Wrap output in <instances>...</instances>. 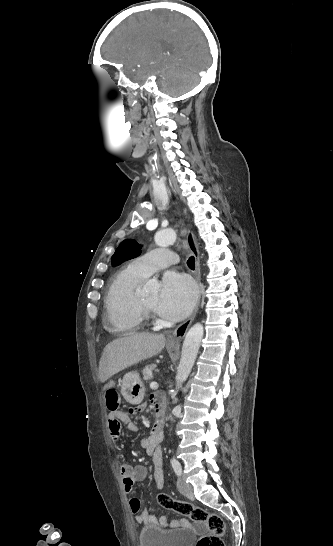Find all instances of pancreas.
Instances as JSON below:
<instances>
[{
    "mask_svg": "<svg viewBox=\"0 0 333 546\" xmlns=\"http://www.w3.org/2000/svg\"><path fill=\"white\" fill-rule=\"evenodd\" d=\"M155 368H156L155 364L145 366L143 370V378L145 380H149L151 378L152 370H154Z\"/></svg>",
    "mask_w": 333,
    "mask_h": 546,
    "instance_id": "obj_1",
    "label": "pancreas"
}]
</instances>
